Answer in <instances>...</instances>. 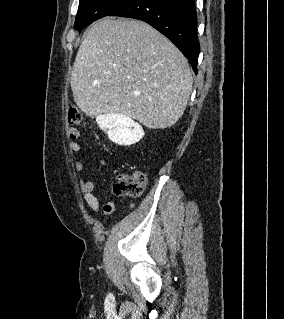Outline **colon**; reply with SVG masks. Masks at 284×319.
<instances>
[{
	"label": "colon",
	"mask_w": 284,
	"mask_h": 319,
	"mask_svg": "<svg viewBox=\"0 0 284 319\" xmlns=\"http://www.w3.org/2000/svg\"><path fill=\"white\" fill-rule=\"evenodd\" d=\"M68 121L70 124L76 126H81L85 123L82 112L74 105H70L68 109ZM145 185V175L140 171H136L132 174H121L117 176L113 190L117 195L137 198L143 193Z\"/></svg>",
	"instance_id": "colon-1"
}]
</instances>
